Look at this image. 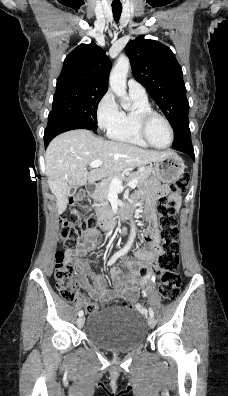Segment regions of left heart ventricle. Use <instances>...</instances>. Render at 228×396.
<instances>
[{
    "label": "left heart ventricle",
    "mask_w": 228,
    "mask_h": 396,
    "mask_svg": "<svg viewBox=\"0 0 228 396\" xmlns=\"http://www.w3.org/2000/svg\"><path fill=\"white\" fill-rule=\"evenodd\" d=\"M148 137L158 147H165L170 141L167 125L160 118H153L148 125Z\"/></svg>",
    "instance_id": "left-heart-ventricle-1"
}]
</instances>
